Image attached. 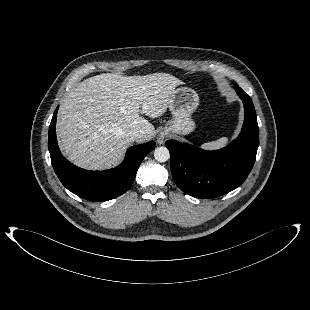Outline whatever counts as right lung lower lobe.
<instances>
[{"mask_svg": "<svg viewBox=\"0 0 310 310\" xmlns=\"http://www.w3.org/2000/svg\"><path fill=\"white\" fill-rule=\"evenodd\" d=\"M58 107L50 126L48 148L51 163L61 183L71 192L93 202L107 201L125 193L132 185L144 157L154 149L155 142L135 145L126 152L124 161L105 171H88L66 160L57 144L55 125Z\"/></svg>", "mask_w": 310, "mask_h": 310, "instance_id": "1", "label": "right lung lower lobe"}]
</instances>
